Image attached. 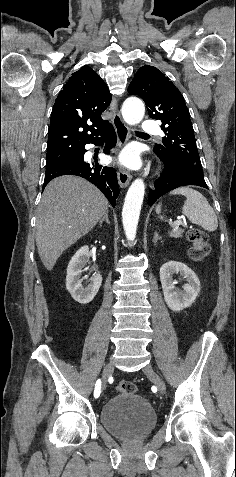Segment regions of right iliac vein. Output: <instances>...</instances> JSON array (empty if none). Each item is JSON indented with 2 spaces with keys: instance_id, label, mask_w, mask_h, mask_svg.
Wrapping results in <instances>:
<instances>
[{
  "instance_id": "obj_1",
  "label": "right iliac vein",
  "mask_w": 236,
  "mask_h": 477,
  "mask_svg": "<svg viewBox=\"0 0 236 477\" xmlns=\"http://www.w3.org/2000/svg\"><path fill=\"white\" fill-rule=\"evenodd\" d=\"M113 371V365L111 362L107 363L104 367L103 373H102V385L100 386V389L102 392H100V395L102 397H105V394L103 391L107 389V382L110 374Z\"/></svg>"
}]
</instances>
